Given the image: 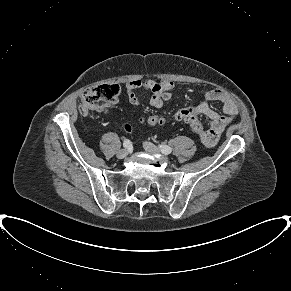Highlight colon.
Instances as JSON below:
<instances>
[{"label": "colon", "mask_w": 291, "mask_h": 291, "mask_svg": "<svg viewBox=\"0 0 291 291\" xmlns=\"http://www.w3.org/2000/svg\"><path fill=\"white\" fill-rule=\"evenodd\" d=\"M121 93L118 85L103 84L85 90L80 98L79 112L83 116L89 115L93 111H102L115 105ZM184 121L188 123L197 135H203L206 131L198 120V116L191 107L177 110L170 118L162 115H150L142 119V122L149 126H162L168 120ZM126 131H130L129 125L125 126Z\"/></svg>", "instance_id": "obj_1"}]
</instances>
